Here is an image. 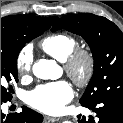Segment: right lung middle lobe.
<instances>
[{
	"mask_svg": "<svg viewBox=\"0 0 123 123\" xmlns=\"http://www.w3.org/2000/svg\"><path fill=\"white\" fill-rule=\"evenodd\" d=\"M45 30H24L10 39H1V101L11 100L12 82H18L17 58L20 50Z\"/></svg>",
	"mask_w": 123,
	"mask_h": 123,
	"instance_id": "1",
	"label": "right lung middle lobe"
}]
</instances>
